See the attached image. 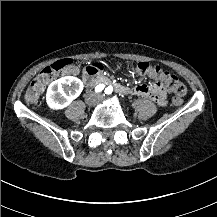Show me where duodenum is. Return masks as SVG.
I'll return each instance as SVG.
<instances>
[{"mask_svg": "<svg viewBox=\"0 0 217 217\" xmlns=\"http://www.w3.org/2000/svg\"><path fill=\"white\" fill-rule=\"evenodd\" d=\"M83 82L87 87H94L96 85L102 84L107 86V88L113 89L119 94H131L133 90L119 83H113L108 78L101 75L100 71L93 66L85 68L83 73Z\"/></svg>", "mask_w": 217, "mask_h": 217, "instance_id": "1", "label": "duodenum"}]
</instances>
